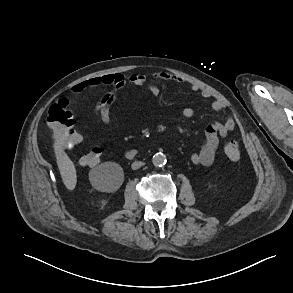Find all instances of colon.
<instances>
[{
    "mask_svg": "<svg viewBox=\"0 0 293 293\" xmlns=\"http://www.w3.org/2000/svg\"><path fill=\"white\" fill-rule=\"evenodd\" d=\"M46 122L59 146L74 147L81 143L82 137L74 129V118L67 100L61 99L50 107ZM224 153L230 160H238L240 157L238 142L234 139L226 141ZM100 155L101 150L94 147L81 157L80 163L88 167L95 166L99 162Z\"/></svg>",
    "mask_w": 293,
    "mask_h": 293,
    "instance_id": "obj_1",
    "label": "colon"
}]
</instances>
